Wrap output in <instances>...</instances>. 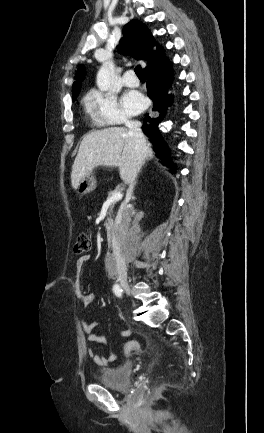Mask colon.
Segmentation results:
<instances>
[{
	"label": "colon",
	"instance_id": "1",
	"mask_svg": "<svg viewBox=\"0 0 264 433\" xmlns=\"http://www.w3.org/2000/svg\"><path fill=\"white\" fill-rule=\"evenodd\" d=\"M92 242L87 233H79L74 245V252L77 254H86L91 250ZM139 343L136 341H128L124 345V351L126 354L134 353L139 351Z\"/></svg>",
	"mask_w": 264,
	"mask_h": 433
}]
</instances>
